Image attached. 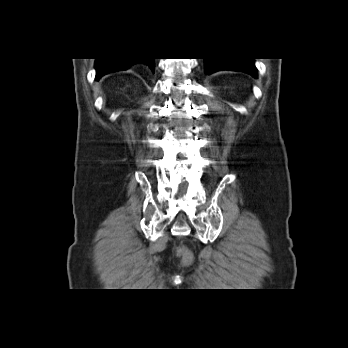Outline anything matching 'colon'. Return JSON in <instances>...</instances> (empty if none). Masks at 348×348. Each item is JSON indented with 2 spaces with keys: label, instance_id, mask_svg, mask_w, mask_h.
Returning <instances> with one entry per match:
<instances>
[{
  "label": "colon",
  "instance_id": "1",
  "mask_svg": "<svg viewBox=\"0 0 348 348\" xmlns=\"http://www.w3.org/2000/svg\"><path fill=\"white\" fill-rule=\"evenodd\" d=\"M176 255L179 258H181V260L185 264H189L192 261V259H193V256L190 253V251H188L184 246H178L176 248Z\"/></svg>",
  "mask_w": 348,
  "mask_h": 348
}]
</instances>
